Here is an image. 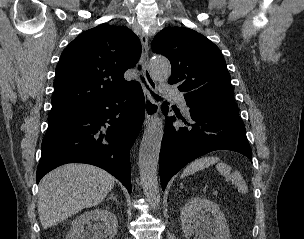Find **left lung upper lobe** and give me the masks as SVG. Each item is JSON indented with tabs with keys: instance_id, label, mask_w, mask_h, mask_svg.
Returning <instances> with one entry per match:
<instances>
[{
	"instance_id": "5c2ea615",
	"label": "left lung upper lobe",
	"mask_w": 304,
	"mask_h": 239,
	"mask_svg": "<svg viewBox=\"0 0 304 239\" xmlns=\"http://www.w3.org/2000/svg\"><path fill=\"white\" fill-rule=\"evenodd\" d=\"M152 50L170 60L168 82L178 85L190 109L239 116L226 62L209 39L189 28L167 27L154 37Z\"/></svg>"
}]
</instances>
